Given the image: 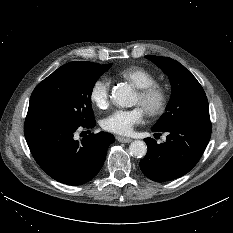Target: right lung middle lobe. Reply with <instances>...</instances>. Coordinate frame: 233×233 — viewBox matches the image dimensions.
Listing matches in <instances>:
<instances>
[{
  "mask_svg": "<svg viewBox=\"0 0 233 233\" xmlns=\"http://www.w3.org/2000/svg\"><path fill=\"white\" fill-rule=\"evenodd\" d=\"M111 65L76 61L59 67L36 86L27 114L55 116L80 125L95 123L92 90Z\"/></svg>",
  "mask_w": 233,
  "mask_h": 233,
  "instance_id": "1",
  "label": "right lung middle lobe"
}]
</instances>
